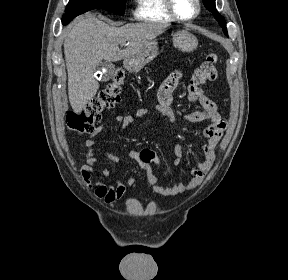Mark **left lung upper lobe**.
<instances>
[{"instance_id":"1","label":"left lung upper lobe","mask_w":288,"mask_h":280,"mask_svg":"<svg viewBox=\"0 0 288 280\" xmlns=\"http://www.w3.org/2000/svg\"><path fill=\"white\" fill-rule=\"evenodd\" d=\"M203 4L210 12L213 13L215 18L218 20L220 26L222 27L223 32L225 33V35H227L225 19L216 10L215 0H203Z\"/></svg>"}]
</instances>
